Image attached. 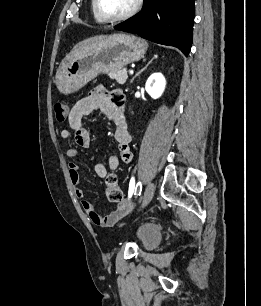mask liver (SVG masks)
I'll return each instance as SVG.
<instances>
[{
  "mask_svg": "<svg viewBox=\"0 0 261 306\" xmlns=\"http://www.w3.org/2000/svg\"><path fill=\"white\" fill-rule=\"evenodd\" d=\"M103 37H105V36H94V37L87 38V39L77 43L73 47L72 51L69 53V55L67 57L71 56L72 54H74L76 51H78L82 47H84L86 45H89V44H91V43H93L95 41H98L99 39H102Z\"/></svg>",
  "mask_w": 261,
  "mask_h": 306,
  "instance_id": "1",
  "label": "liver"
}]
</instances>
